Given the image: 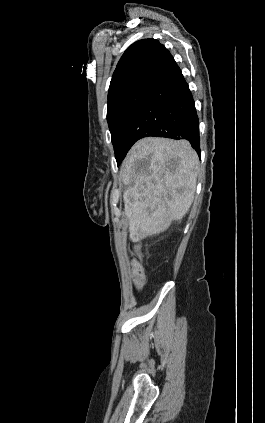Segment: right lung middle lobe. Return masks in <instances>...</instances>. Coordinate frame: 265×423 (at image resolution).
<instances>
[{"label":"right lung middle lobe","instance_id":"dd1d6c3e","mask_svg":"<svg viewBox=\"0 0 265 423\" xmlns=\"http://www.w3.org/2000/svg\"><path fill=\"white\" fill-rule=\"evenodd\" d=\"M148 92H134L115 102L107 108V121L112 136L115 157L119 165L125 157L120 139L124 128L130 121L133 114L141 105Z\"/></svg>","mask_w":265,"mask_h":423}]
</instances>
